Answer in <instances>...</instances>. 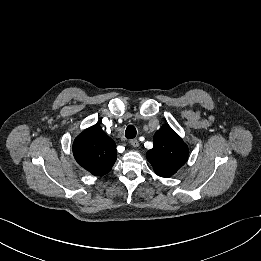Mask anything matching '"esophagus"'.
<instances>
[{"instance_id":"34e87169","label":"esophagus","mask_w":261,"mask_h":261,"mask_svg":"<svg viewBox=\"0 0 261 261\" xmlns=\"http://www.w3.org/2000/svg\"><path fill=\"white\" fill-rule=\"evenodd\" d=\"M130 144H131L133 147H135V148L139 146V142H138V140H136V139L131 140V141H130Z\"/></svg>"}]
</instances>
